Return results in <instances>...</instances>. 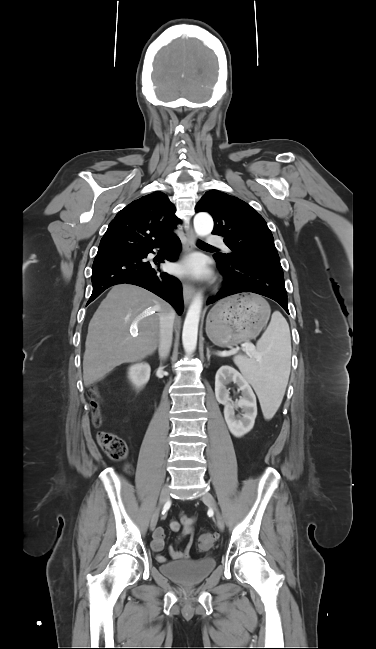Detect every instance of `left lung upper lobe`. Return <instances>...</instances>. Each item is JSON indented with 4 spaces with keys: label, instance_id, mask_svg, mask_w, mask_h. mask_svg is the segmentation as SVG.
<instances>
[{
    "label": "left lung upper lobe",
    "instance_id": "1",
    "mask_svg": "<svg viewBox=\"0 0 376 649\" xmlns=\"http://www.w3.org/2000/svg\"><path fill=\"white\" fill-rule=\"evenodd\" d=\"M195 209L212 215V233L224 237L231 250L229 254H215V259L229 265L255 263L283 274L273 235L262 216L250 205L234 196L210 190Z\"/></svg>",
    "mask_w": 376,
    "mask_h": 649
}]
</instances>
